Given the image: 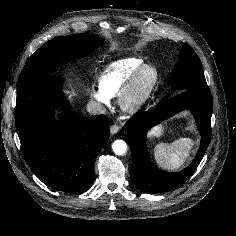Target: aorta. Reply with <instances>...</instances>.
<instances>
[{"mask_svg": "<svg viewBox=\"0 0 236 236\" xmlns=\"http://www.w3.org/2000/svg\"><path fill=\"white\" fill-rule=\"evenodd\" d=\"M112 149L116 155H123L127 150V144L123 140H116L112 145Z\"/></svg>", "mask_w": 236, "mask_h": 236, "instance_id": "obj_1", "label": "aorta"}]
</instances>
